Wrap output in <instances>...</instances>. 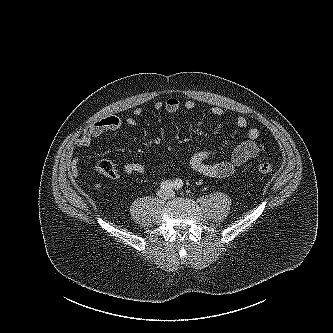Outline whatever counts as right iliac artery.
<instances>
[{
    "label": "right iliac artery",
    "instance_id": "obj_1",
    "mask_svg": "<svg viewBox=\"0 0 333 333\" xmlns=\"http://www.w3.org/2000/svg\"><path fill=\"white\" fill-rule=\"evenodd\" d=\"M174 186V183L172 181H163L161 184H160V187L164 190H170L172 189Z\"/></svg>",
    "mask_w": 333,
    "mask_h": 333
}]
</instances>
